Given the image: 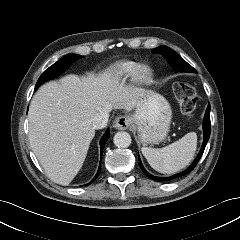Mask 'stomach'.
<instances>
[{
	"instance_id": "obj_1",
	"label": "stomach",
	"mask_w": 240,
	"mask_h": 240,
	"mask_svg": "<svg viewBox=\"0 0 240 240\" xmlns=\"http://www.w3.org/2000/svg\"><path fill=\"white\" fill-rule=\"evenodd\" d=\"M171 118L169 103L154 92L144 93L136 105L134 114L130 116L143 145L157 144L164 140L170 129Z\"/></svg>"
}]
</instances>
